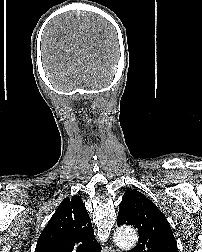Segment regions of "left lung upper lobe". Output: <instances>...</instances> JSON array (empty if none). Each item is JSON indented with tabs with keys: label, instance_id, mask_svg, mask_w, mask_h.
<instances>
[{
	"label": "left lung upper lobe",
	"instance_id": "1",
	"mask_svg": "<svg viewBox=\"0 0 202 252\" xmlns=\"http://www.w3.org/2000/svg\"><path fill=\"white\" fill-rule=\"evenodd\" d=\"M137 228L139 241L129 252H178L164 214L144 194L128 189L119 205L118 223Z\"/></svg>",
	"mask_w": 202,
	"mask_h": 252
}]
</instances>
